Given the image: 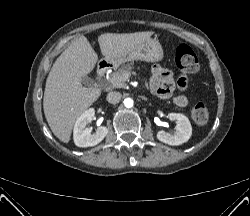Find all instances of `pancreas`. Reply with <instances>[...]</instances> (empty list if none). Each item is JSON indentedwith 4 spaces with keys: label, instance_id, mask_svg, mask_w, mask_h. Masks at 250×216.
Here are the masks:
<instances>
[{
    "label": "pancreas",
    "instance_id": "obj_1",
    "mask_svg": "<svg viewBox=\"0 0 250 216\" xmlns=\"http://www.w3.org/2000/svg\"><path fill=\"white\" fill-rule=\"evenodd\" d=\"M133 69V64H125L123 65L120 69L115 71L111 77H110V83L113 88H124L126 87V81L127 79L123 78V75L125 73H130L131 70Z\"/></svg>",
    "mask_w": 250,
    "mask_h": 216
}]
</instances>
